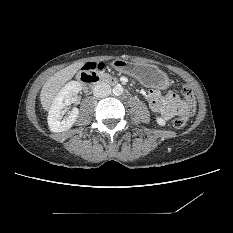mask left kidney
Returning <instances> with one entry per match:
<instances>
[{
  "mask_svg": "<svg viewBox=\"0 0 233 233\" xmlns=\"http://www.w3.org/2000/svg\"><path fill=\"white\" fill-rule=\"evenodd\" d=\"M156 121L160 126L165 125V121L161 117H156Z\"/></svg>",
  "mask_w": 233,
  "mask_h": 233,
  "instance_id": "obj_1",
  "label": "left kidney"
}]
</instances>
